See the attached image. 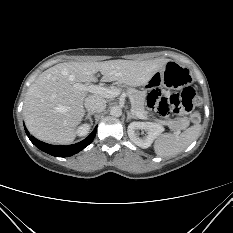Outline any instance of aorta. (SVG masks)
I'll return each mask as SVG.
<instances>
[{
  "label": "aorta",
  "mask_w": 233,
  "mask_h": 233,
  "mask_svg": "<svg viewBox=\"0 0 233 233\" xmlns=\"http://www.w3.org/2000/svg\"><path fill=\"white\" fill-rule=\"evenodd\" d=\"M110 114L113 117H120L122 115V109L119 106H114L110 109Z\"/></svg>",
  "instance_id": "762f6f07"
}]
</instances>
